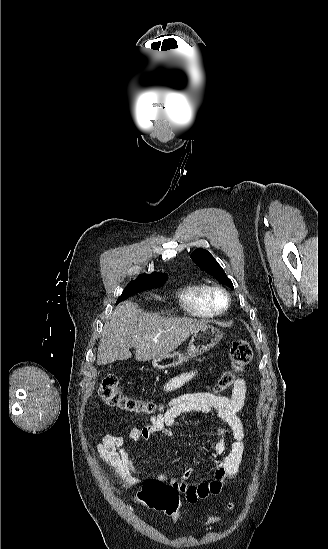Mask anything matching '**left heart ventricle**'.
I'll list each match as a JSON object with an SVG mask.
<instances>
[{"label":"left heart ventricle","mask_w":328,"mask_h":549,"mask_svg":"<svg viewBox=\"0 0 328 549\" xmlns=\"http://www.w3.org/2000/svg\"><path fill=\"white\" fill-rule=\"evenodd\" d=\"M217 303L219 306H222L225 303V298L223 296H219L217 298Z\"/></svg>","instance_id":"obj_1"}]
</instances>
